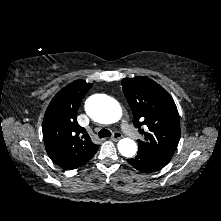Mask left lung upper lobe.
<instances>
[{
	"instance_id": "left-lung-upper-lobe-1",
	"label": "left lung upper lobe",
	"mask_w": 221,
	"mask_h": 221,
	"mask_svg": "<svg viewBox=\"0 0 221 221\" xmlns=\"http://www.w3.org/2000/svg\"><path fill=\"white\" fill-rule=\"evenodd\" d=\"M122 88L133 113V124L143 135V140H138V151L169 163L180 139L174 100L148 77L124 78Z\"/></svg>"
}]
</instances>
